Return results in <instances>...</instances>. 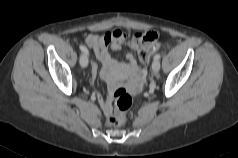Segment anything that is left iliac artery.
Wrapping results in <instances>:
<instances>
[{
  "instance_id": "44dca946",
  "label": "left iliac artery",
  "mask_w": 238,
  "mask_h": 158,
  "mask_svg": "<svg viewBox=\"0 0 238 158\" xmlns=\"http://www.w3.org/2000/svg\"><path fill=\"white\" fill-rule=\"evenodd\" d=\"M160 57H161V55H160V54H156V55L154 56V60H159V59H160Z\"/></svg>"
}]
</instances>
